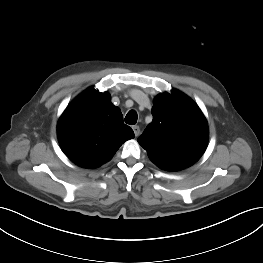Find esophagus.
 Returning <instances> with one entry per match:
<instances>
[{
    "label": "esophagus",
    "mask_w": 263,
    "mask_h": 263,
    "mask_svg": "<svg viewBox=\"0 0 263 263\" xmlns=\"http://www.w3.org/2000/svg\"><path fill=\"white\" fill-rule=\"evenodd\" d=\"M132 129H133V131H134L135 136H136V137L139 136V134H140V128H139V126L135 125V126L132 127Z\"/></svg>",
    "instance_id": "1"
}]
</instances>
